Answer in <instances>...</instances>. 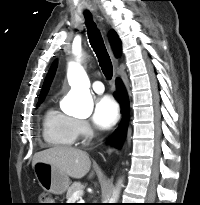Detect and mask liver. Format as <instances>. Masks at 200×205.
<instances>
[{
  "label": "liver",
  "instance_id": "liver-1",
  "mask_svg": "<svg viewBox=\"0 0 200 205\" xmlns=\"http://www.w3.org/2000/svg\"><path fill=\"white\" fill-rule=\"evenodd\" d=\"M38 162L51 164L75 179L84 177L89 172L91 166L89 155L86 152L76 148L60 146L35 153L32 167ZM93 174L92 172L89 178Z\"/></svg>",
  "mask_w": 200,
  "mask_h": 205
}]
</instances>
